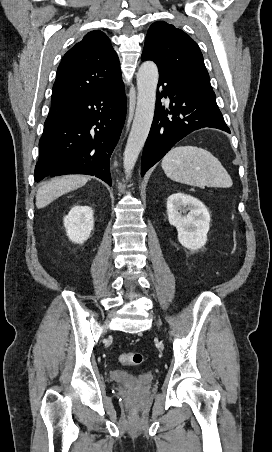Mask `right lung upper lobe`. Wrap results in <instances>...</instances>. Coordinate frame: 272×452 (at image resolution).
Segmentation results:
<instances>
[{"instance_id":"cb5924a9","label":"right lung upper lobe","mask_w":272,"mask_h":452,"mask_svg":"<svg viewBox=\"0 0 272 452\" xmlns=\"http://www.w3.org/2000/svg\"><path fill=\"white\" fill-rule=\"evenodd\" d=\"M121 80L119 59L109 38L95 30L63 57L52 90L51 110L73 104Z\"/></svg>"}]
</instances>
